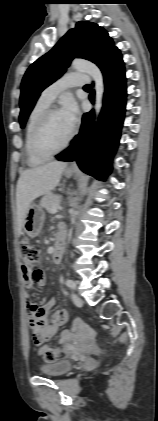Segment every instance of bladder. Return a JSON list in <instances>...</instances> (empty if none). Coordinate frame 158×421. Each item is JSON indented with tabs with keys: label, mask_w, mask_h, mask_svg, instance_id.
<instances>
[{
	"label": "bladder",
	"mask_w": 158,
	"mask_h": 421,
	"mask_svg": "<svg viewBox=\"0 0 158 421\" xmlns=\"http://www.w3.org/2000/svg\"><path fill=\"white\" fill-rule=\"evenodd\" d=\"M73 367L70 360L63 359L39 367L41 374L49 377H60L68 373Z\"/></svg>",
	"instance_id": "31cf9c89"
}]
</instances>
